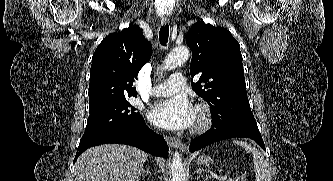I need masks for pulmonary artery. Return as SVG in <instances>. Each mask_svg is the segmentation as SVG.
I'll return each instance as SVG.
<instances>
[{"mask_svg":"<svg viewBox=\"0 0 333 181\" xmlns=\"http://www.w3.org/2000/svg\"><path fill=\"white\" fill-rule=\"evenodd\" d=\"M185 85V78L182 74H172L170 78L155 86L151 95L155 97H165L175 94Z\"/></svg>","mask_w":333,"mask_h":181,"instance_id":"obj_1","label":"pulmonary artery"}]
</instances>
